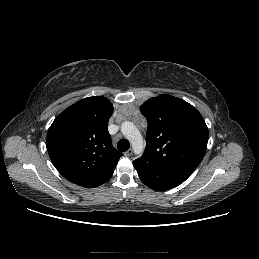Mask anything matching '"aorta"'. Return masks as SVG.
Returning a JSON list of instances; mask_svg holds the SVG:
<instances>
[{
	"instance_id": "762f6f07",
	"label": "aorta",
	"mask_w": 259,
	"mask_h": 259,
	"mask_svg": "<svg viewBox=\"0 0 259 259\" xmlns=\"http://www.w3.org/2000/svg\"><path fill=\"white\" fill-rule=\"evenodd\" d=\"M122 134L131 143L134 153L140 155L143 152V137L137 127L129 121H125L121 125Z\"/></svg>"
}]
</instances>
